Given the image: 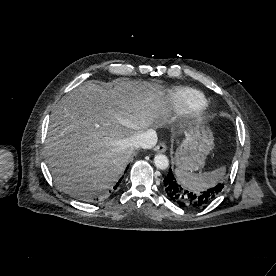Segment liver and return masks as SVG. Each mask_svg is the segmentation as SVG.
<instances>
[{
  "label": "liver",
  "mask_w": 276,
  "mask_h": 276,
  "mask_svg": "<svg viewBox=\"0 0 276 276\" xmlns=\"http://www.w3.org/2000/svg\"><path fill=\"white\" fill-rule=\"evenodd\" d=\"M170 116L157 84L119 79L110 89L93 82L73 89L51 114L45 146L58 188L81 200L110 189L134 152L130 139Z\"/></svg>",
  "instance_id": "6515ba94"
}]
</instances>
